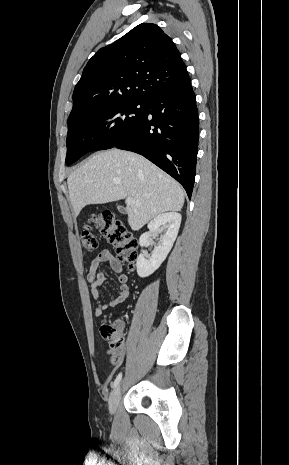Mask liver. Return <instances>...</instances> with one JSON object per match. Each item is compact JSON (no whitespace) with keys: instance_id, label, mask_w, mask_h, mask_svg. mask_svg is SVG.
I'll return each instance as SVG.
<instances>
[{"instance_id":"obj_1","label":"liver","mask_w":289,"mask_h":465,"mask_svg":"<svg viewBox=\"0 0 289 465\" xmlns=\"http://www.w3.org/2000/svg\"><path fill=\"white\" fill-rule=\"evenodd\" d=\"M67 183L75 217L86 205L133 198L126 208L132 230L184 204V191L173 178L141 155L116 148L89 157Z\"/></svg>"}]
</instances>
